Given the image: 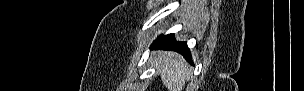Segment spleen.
Returning <instances> with one entry per match:
<instances>
[{
	"instance_id": "3e777b00",
	"label": "spleen",
	"mask_w": 304,
	"mask_h": 91,
	"mask_svg": "<svg viewBox=\"0 0 304 91\" xmlns=\"http://www.w3.org/2000/svg\"><path fill=\"white\" fill-rule=\"evenodd\" d=\"M158 71L163 84L169 91H182L189 78L186 62L174 57L171 53L159 60Z\"/></svg>"
}]
</instances>
